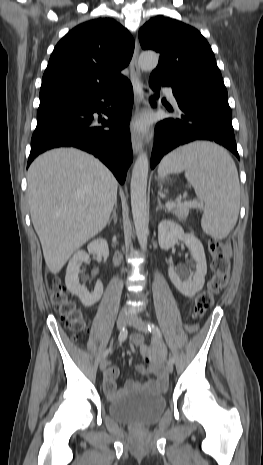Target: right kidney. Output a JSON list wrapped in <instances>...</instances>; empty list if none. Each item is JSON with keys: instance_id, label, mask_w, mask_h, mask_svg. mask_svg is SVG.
I'll use <instances>...</instances> for the list:
<instances>
[{"instance_id": "obj_1", "label": "right kidney", "mask_w": 263, "mask_h": 465, "mask_svg": "<svg viewBox=\"0 0 263 465\" xmlns=\"http://www.w3.org/2000/svg\"><path fill=\"white\" fill-rule=\"evenodd\" d=\"M89 254H95L107 258L109 256L108 243L105 239L99 238L87 246ZM87 252L80 250L77 251L73 257L70 259L65 276V284L67 289L77 295L85 306H91L98 302L103 293V284L101 281H98L95 285L94 291L89 292L85 286L79 283V272L80 266L83 262L89 260V254Z\"/></svg>"}]
</instances>
